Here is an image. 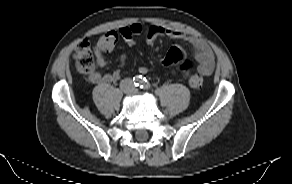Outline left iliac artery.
Here are the masks:
<instances>
[{
  "label": "left iliac artery",
  "mask_w": 292,
  "mask_h": 184,
  "mask_svg": "<svg viewBox=\"0 0 292 184\" xmlns=\"http://www.w3.org/2000/svg\"><path fill=\"white\" fill-rule=\"evenodd\" d=\"M150 87H151L150 83L146 80V78H143L140 88L148 90L150 89Z\"/></svg>",
  "instance_id": "1"
}]
</instances>
